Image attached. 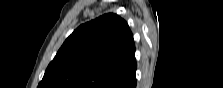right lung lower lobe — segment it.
<instances>
[{"label": "right lung lower lobe", "instance_id": "98d812e1", "mask_svg": "<svg viewBox=\"0 0 223 88\" xmlns=\"http://www.w3.org/2000/svg\"><path fill=\"white\" fill-rule=\"evenodd\" d=\"M135 87H136V77L132 79L131 81V88H135Z\"/></svg>", "mask_w": 223, "mask_h": 88}]
</instances>
